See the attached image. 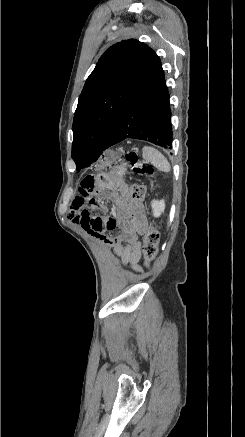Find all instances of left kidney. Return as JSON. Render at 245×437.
Listing matches in <instances>:
<instances>
[{
  "mask_svg": "<svg viewBox=\"0 0 245 437\" xmlns=\"http://www.w3.org/2000/svg\"><path fill=\"white\" fill-rule=\"evenodd\" d=\"M152 210H153V216L159 217L165 210V202L164 200H153L151 203Z\"/></svg>",
  "mask_w": 245,
  "mask_h": 437,
  "instance_id": "left-kidney-1",
  "label": "left kidney"
}]
</instances>
